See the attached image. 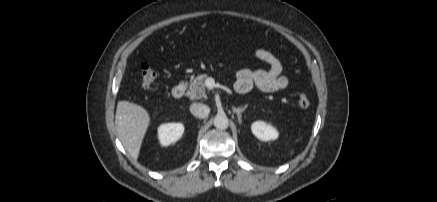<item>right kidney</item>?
<instances>
[{"label": "right kidney", "instance_id": "right-kidney-1", "mask_svg": "<svg viewBox=\"0 0 437 202\" xmlns=\"http://www.w3.org/2000/svg\"><path fill=\"white\" fill-rule=\"evenodd\" d=\"M184 132L182 123H167L162 124L158 128V138L163 146H168L171 143L178 141Z\"/></svg>", "mask_w": 437, "mask_h": 202}]
</instances>
